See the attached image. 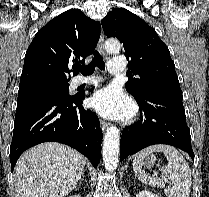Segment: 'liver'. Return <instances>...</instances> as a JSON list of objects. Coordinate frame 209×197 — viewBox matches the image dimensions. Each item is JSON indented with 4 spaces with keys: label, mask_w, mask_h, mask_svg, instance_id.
Segmentation results:
<instances>
[{
    "label": "liver",
    "mask_w": 209,
    "mask_h": 197,
    "mask_svg": "<svg viewBox=\"0 0 209 197\" xmlns=\"http://www.w3.org/2000/svg\"><path fill=\"white\" fill-rule=\"evenodd\" d=\"M85 163L78 151L61 143L30 148L15 167L18 197H65L77 186Z\"/></svg>",
    "instance_id": "liver-1"
}]
</instances>
